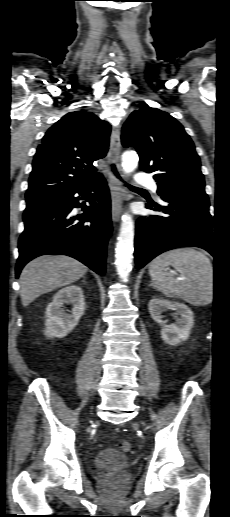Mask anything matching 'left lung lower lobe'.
Instances as JSON below:
<instances>
[{
	"label": "left lung lower lobe",
	"mask_w": 230,
	"mask_h": 517,
	"mask_svg": "<svg viewBox=\"0 0 230 517\" xmlns=\"http://www.w3.org/2000/svg\"><path fill=\"white\" fill-rule=\"evenodd\" d=\"M164 206L156 203L148 209L164 215L140 217L136 223L135 261L142 268L162 252L179 247H200L215 256L212 219L205 192L161 194Z\"/></svg>",
	"instance_id": "obj_1"
}]
</instances>
